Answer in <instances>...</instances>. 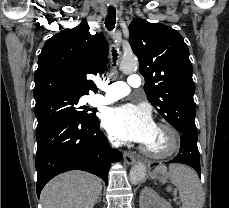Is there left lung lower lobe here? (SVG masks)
I'll use <instances>...</instances> for the list:
<instances>
[{"instance_id":"left-lung-lower-lobe-1","label":"left lung lower lobe","mask_w":229,"mask_h":208,"mask_svg":"<svg viewBox=\"0 0 229 208\" xmlns=\"http://www.w3.org/2000/svg\"><path fill=\"white\" fill-rule=\"evenodd\" d=\"M181 147L179 154L168 163H183L196 170L201 176L200 156L197 147V130L186 129L185 134H181ZM157 164H152L154 166Z\"/></svg>"}]
</instances>
